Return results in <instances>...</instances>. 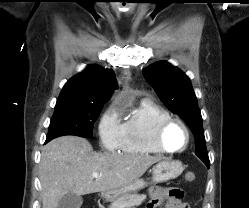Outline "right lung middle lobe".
I'll return each mask as SVG.
<instances>
[{
    "label": "right lung middle lobe",
    "mask_w": 249,
    "mask_h": 208,
    "mask_svg": "<svg viewBox=\"0 0 249 208\" xmlns=\"http://www.w3.org/2000/svg\"><path fill=\"white\" fill-rule=\"evenodd\" d=\"M103 104H69L55 106L47 135L48 141L63 135L91 138L93 125Z\"/></svg>",
    "instance_id": "1"
}]
</instances>
